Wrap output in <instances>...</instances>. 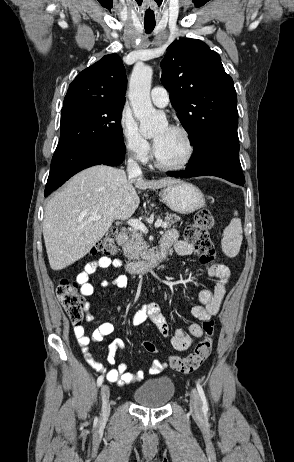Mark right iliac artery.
I'll list each match as a JSON object with an SVG mask.
<instances>
[{"label": "right iliac artery", "mask_w": 294, "mask_h": 462, "mask_svg": "<svg viewBox=\"0 0 294 462\" xmlns=\"http://www.w3.org/2000/svg\"><path fill=\"white\" fill-rule=\"evenodd\" d=\"M103 381H104V376H102V375L99 376L98 379H97V385H98V386H101L102 383H103Z\"/></svg>", "instance_id": "1"}]
</instances>
